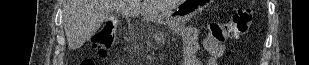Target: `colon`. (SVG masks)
Instances as JSON below:
<instances>
[{
	"label": "colon",
	"mask_w": 309,
	"mask_h": 65,
	"mask_svg": "<svg viewBox=\"0 0 309 65\" xmlns=\"http://www.w3.org/2000/svg\"><path fill=\"white\" fill-rule=\"evenodd\" d=\"M254 20L251 9H238L228 23H210L207 26L208 37L217 41L225 42L242 37L247 33ZM117 26L108 22L91 42V47L98 58L104 59L114 44ZM81 65H94L92 59H85Z\"/></svg>",
	"instance_id": "5ec220e1"
}]
</instances>
